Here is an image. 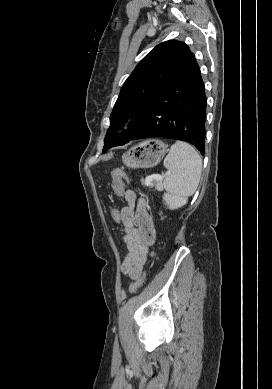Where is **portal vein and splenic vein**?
<instances>
[{"label": "portal vein and splenic vein", "instance_id": "1", "mask_svg": "<svg viewBox=\"0 0 272 389\" xmlns=\"http://www.w3.org/2000/svg\"><path fill=\"white\" fill-rule=\"evenodd\" d=\"M169 174H170V172H166L165 176H168ZM162 179H163V176H161V175H152V176L146 177L145 183H146V185H150L151 181H153V180L160 181Z\"/></svg>", "mask_w": 272, "mask_h": 389}]
</instances>
